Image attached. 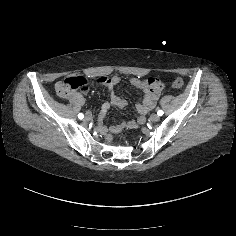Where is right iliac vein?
Wrapping results in <instances>:
<instances>
[{"label": "right iliac vein", "instance_id": "63e3f726", "mask_svg": "<svg viewBox=\"0 0 236 236\" xmlns=\"http://www.w3.org/2000/svg\"><path fill=\"white\" fill-rule=\"evenodd\" d=\"M92 119L91 114H87L86 117L84 118V122H89Z\"/></svg>", "mask_w": 236, "mask_h": 236}]
</instances>
